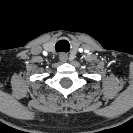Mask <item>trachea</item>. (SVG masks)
<instances>
[{"mask_svg": "<svg viewBox=\"0 0 133 133\" xmlns=\"http://www.w3.org/2000/svg\"><path fill=\"white\" fill-rule=\"evenodd\" d=\"M56 52H68L70 49L69 42L67 40H60L55 45Z\"/></svg>", "mask_w": 133, "mask_h": 133, "instance_id": "obj_1", "label": "trachea"}]
</instances>
